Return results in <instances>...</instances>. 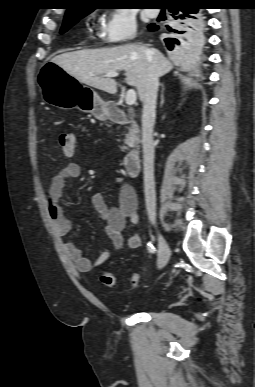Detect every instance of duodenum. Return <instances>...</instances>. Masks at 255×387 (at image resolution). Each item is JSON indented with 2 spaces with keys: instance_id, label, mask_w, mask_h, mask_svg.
<instances>
[{
  "instance_id": "obj_1",
  "label": "duodenum",
  "mask_w": 255,
  "mask_h": 387,
  "mask_svg": "<svg viewBox=\"0 0 255 387\" xmlns=\"http://www.w3.org/2000/svg\"><path fill=\"white\" fill-rule=\"evenodd\" d=\"M107 117L117 123L128 125L130 134L134 140L139 139V126L135 120L130 118L123 110L116 106H110L107 110ZM125 172L130 177H136L141 169V151L135 146L123 160Z\"/></svg>"
}]
</instances>
